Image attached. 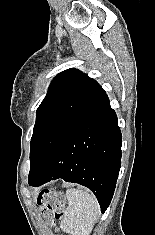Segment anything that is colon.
I'll return each mask as SVG.
<instances>
[{
    "instance_id": "colon-1",
    "label": "colon",
    "mask_w": 155,
    "mask_h": 235,
    "mask_svg": "<svg viewBox=\"0 0 155 235\" xmlns=\"http://www.w3.org/2000/svg\"><path fill=\"white\" fill-rule=\"evenodd\" d=\"M41 213L46 217L60 218L63 216V201L61 197L49 190L41 191L37 196Z\"/></svg>"
}]
</instances>
